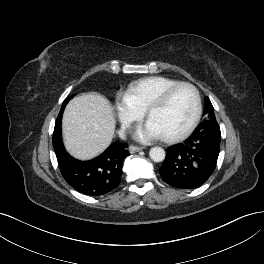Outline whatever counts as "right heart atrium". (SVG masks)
<instances>
[{"label": "right heart atrium", "mask_w": 264, "mask_h": 264, "mask_svg": "<svg viewBox=\"0 0 264 264\" xmlns=\"http://www.w3.org/2000/svg\"><path fill=\"white\" fill-rule=\"evenodd\" d=\"M115 108L121 128L124 130H128L131 125L142 118L144 114V111L129 102L125 95L117 99Z\"/></svg>", "instance_id": "right-heart-atrium-1"}]
</instances>
